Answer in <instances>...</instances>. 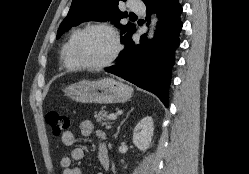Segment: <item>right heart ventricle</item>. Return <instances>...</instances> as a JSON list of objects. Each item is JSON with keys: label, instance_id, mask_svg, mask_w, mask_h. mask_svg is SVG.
Listing matches in <instances>:
<instances>
[{"label": "right heart ventricle", "instance_id": "right-heart-ventricle-1", "mask_svg": "<svg viewBox=\"0 0 249 174\" xmlns=\"http://www.w3.org/2000/svg\"><path fill=\"white\" fill-rule=\"evenodd\" d=\"M81 31L82 28H77L76 30H74L63 47L62 51L63 65L69 70H77L80 68L73 57L72 49L74 42Z\"/></svg>", "mask_w": 249, "mask_h": 174}]
</instances>
